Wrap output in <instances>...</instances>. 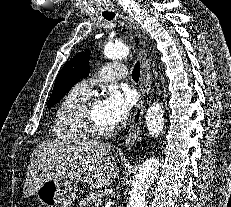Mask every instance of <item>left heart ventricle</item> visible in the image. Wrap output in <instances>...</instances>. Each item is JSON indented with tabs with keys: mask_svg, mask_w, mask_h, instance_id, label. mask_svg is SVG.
<instances>
[{
	"mask_svg": "<svg viewBox=\"0 0 231 207\" xmlns=\"http://www.w3.org/2000/svg\"><path fill=\"white\" fill-rule=\"evenodd\" d=\"M93 121L100 129H110L113 127L104 117L101 102L96 103L92 108Z\"/></svg>",
	"mask_w": 231,
	"mask_h": 207,
	"instance_id": "b2bd125f",
	"label": "left heart ventricle"
}]
</instances>
